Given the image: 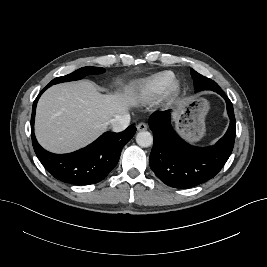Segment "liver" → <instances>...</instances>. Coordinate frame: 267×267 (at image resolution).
<instances>
[{
    "instance_id": "liver-1",
    "label": "liver",
    "mask_w": 267,
    "mask_h": 267,
    "mask_svg": "<svg viewBox=\"0 0 267 267\" xmlns=\"http://www.w3.org/2000/svg\"><path fill=\"white\" fill-rule=\"evenodd\" d=\"M136 102L131 90L101 94L91 81L52 86L37 105V140L54 153L75 151L98 138L113 117L128 113Z\"/></svg>"
}]
</instances>
